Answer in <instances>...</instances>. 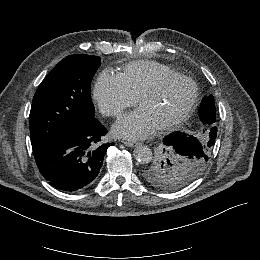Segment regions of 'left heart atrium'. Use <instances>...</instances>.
Instances as JSON below:
<instances>
[{"instance_id": "obj_1", "label": "left heart atrium", "mask_w": 260, "mask_h": 260, "mask_svg": "<svg viewBox=\"0 0 260 260\" xmlns=\"http://www.w3.org/2000/svg\"><path fill=\"white\" fill-rule=\"evenodd\" d=\"M154 128L144 109L138 107L114 125L113 133L118 137L139 140L148 136Z\"/></svg>"}]
</instances>
